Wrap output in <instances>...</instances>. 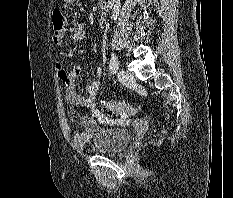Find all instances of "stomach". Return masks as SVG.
<instances>
[{
	"mask_svg": "<svg viewBox=\"0 0 233 198\" xmlns=\"http://www.w3.org/2000/svg\"><path fill=\"white\" fill-rule=\"evenodd\" d=\"M64 2L67 3V4H72V3L75 2V0H64Z\"/></svg>",
	"mask_w": 233,
	"mask_h": 198,
	"instance_id": "1",
	"label": "stomach"
}]
</instances>
